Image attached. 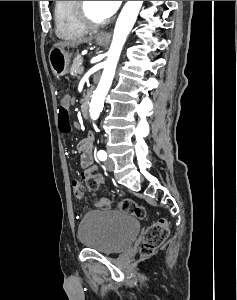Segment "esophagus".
I'll list each match as a JSON object with an SVG mask.
<instances>
[{
  "label": "esophagus",
  "mask_w": 237,
  "mask_h": 300,
  "mask_svg": "<svg viewBox=\"0 0 237 300\" xmlns=\"http://www.w3.org/2000/svg\"><path fill=\"white\" fill-rule=\"evenodd\" d=\"M109 38V34L108 33H99L97 36H96V39L97 40H105V39H108Z\"/></svg>",
  "instance_id": "esophagus-1"
}]
</instances>
